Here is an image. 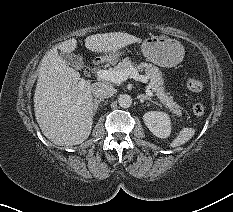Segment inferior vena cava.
Segmentation results:
<instances>
[{
  "instance_id": "inferior-vena-cava-1",
  "label": "inferior vena cava",
  "mask_w": 233,
  "mask_h": 212,
  "mask_svg": "<svg viewBox=\"0 0 233 212\" xmlns=\"http://www.w3.org/2000/svg\"><path fill=\"white\" fill-rule=\"evenodd\" d=\"M91 91L94 97L103 99L113 96L116 89L112 85L96 82L92 84Z\"/></svg>"
}]
</instances>
